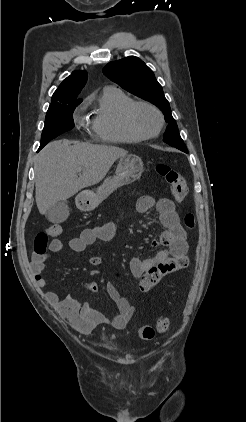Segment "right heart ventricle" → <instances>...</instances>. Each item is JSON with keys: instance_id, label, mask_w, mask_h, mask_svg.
Segmentation results:
<instances>
[{"instance_id": "e07e8e85", "label": "right heart ventricle", "mask_w": 246, "mask_h": 422, "mask_svg": "<svg viewBox=\"0 0 246 422\" xmlns=\"http://www.w3.org/2000/svg\"><path fill=\"white\" fill-rule=\"evenodd\" d=\"M134 100L116 87L103 89L91 122L95 137L108 143H135L142 139L129 131L124 121L125 109Z\"/></svg>"}]
</instances>
